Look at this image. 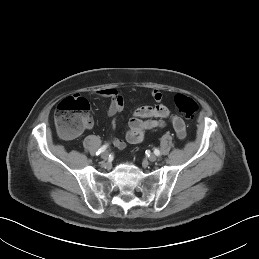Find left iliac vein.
Instances as JSON below:
<instances>
[{
	"instance_id": "left-iliac-vein-1",
	"label": "left iliac vein",
	"mask_w": 259,
	"mask_h": 259,
	"mask_svg": "<svg viewBox=\"0 0 259 259\" xmlns=\"http://www.w3.org/2000/svg\"><path fill=\"white\" fill-rule=\"evenodd\" d=\"M148 160L150 162H155L157 160V156L155 154H151L149 157H148Z\"/></svg>"
}]
</instances>
